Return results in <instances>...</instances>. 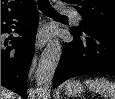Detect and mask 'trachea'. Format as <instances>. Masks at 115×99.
I'll list each match as a JSON object with an SVG mask.
<instances>
[{
	"label": "trachea",
	"mask_w": 115,
	"mask_h": 99,
	"mask_svg": "<svg viewBox=\"0 0 115 99\" xmlns=\"http://www.w3.org/2000/svg\"><path fill=\"white\" fill-rule=\"evenodd\" d=\"M38 7L39 9L47 16L49 17H63L67 18L64 15L59 14L50 4L48 0H39L38 1Z\"/></svg>",
	"instance_id": "1"
}]
</instances>
